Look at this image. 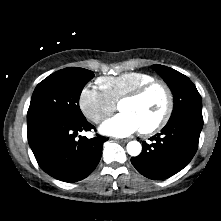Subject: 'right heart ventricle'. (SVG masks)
<instances>
[{"label": "right heart ventricle", "mask_w": 221, "mask_h": 221, "mask_svg": "<svg viewBox=\"0 0 221 221\" xmlns=\"http://www.w3.org/2000/svg\"><path fill=\"white\" fill-rule=\"evenodd\" d=\"M152 80L154 77L145 72H126L118 76L100 77L97 84L106 96L118 103L124 95Z\"/></svg>", "instance_id": "right-heart-ventricle-1"}]
</instances>
